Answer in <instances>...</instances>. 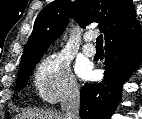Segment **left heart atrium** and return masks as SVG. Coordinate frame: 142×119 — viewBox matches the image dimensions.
Here are the masks:
<instances>
[{
    "instance_id": "left-heart-atrium-1",
    "label": "left heart atrium",
    "mask_w": 142,
    "mask_h": 119,
    "mask_svg": "<svg viewBox=\"0 0 142 119\" xmlns=\"http://www.w3.org/2000/svg\"><path fill=\"white\" fill-rule=\"evenodd\" d=\"M80 74L84 77V78H90L92 77V70L89 68H85V69H81L80 70Z\"/></svg>"
}]
</instances>
